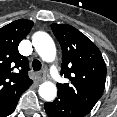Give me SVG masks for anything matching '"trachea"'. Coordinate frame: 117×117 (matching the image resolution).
Here are the masks:
<instances>
[{
	"instance_id": "obj_1",
	"label": "trachea",
	"mask_w": 117,
	"mask_h": 117,
	"mask_svg": "<svg viewBox=\"0 0 117 117\" xmlns=\"http://www.w3.org/2000/svg\"><path fill=\"white\" fill-rule=\"evenodd\" d=\"M32 67L34 71H40L42 67L41 62L37 59H34L32 62Z\"/></svg>"
}]
</instances>
